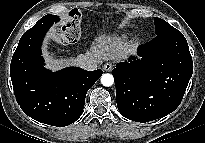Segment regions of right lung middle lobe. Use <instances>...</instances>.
<instances>
[{
	"instance_id": "right-lung-middle-lobe-1",
	"label": "right lung middle lobe",
	"mask_w": 205,
	"mask_h": 143,
	"mask_svg": "<svg viewBox=\"0 0 205 143\" xmlns=\"http://www.w3.org/2000/svg\"><path fill=\"white\" fill-rule=\"evenodd\" d=\"M45 17H47V18H54V19H57V20H58V17L55 16V15H46Z\"/></svg>"
}]
</instances>
